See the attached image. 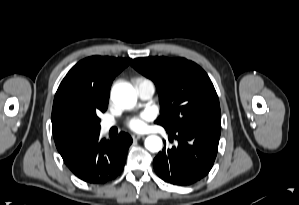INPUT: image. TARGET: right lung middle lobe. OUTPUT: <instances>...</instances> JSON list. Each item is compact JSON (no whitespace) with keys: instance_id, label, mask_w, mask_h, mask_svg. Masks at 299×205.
Here are the masks:
<instances>
[{"instance_id":"dd1d6c3e","label":"right lung middle lobe","mask_w":299,"mask_h":205,"mask_svg":"<svg viewBox=\"0 0 299 205\" xmlns=\"http://www.w3.org/2000/svg\"><path fill=\"white\" fill-rule=\"evenodd\" d=\"M65 137L72 144L92 135L100 133V118L98 115L72 116L63 125Z\"/></svg>"}]
</instances>
